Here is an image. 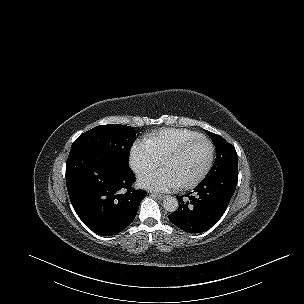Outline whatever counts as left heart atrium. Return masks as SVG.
Instances as JSON below:
<instances>
[{
	"label": "left heart atrium",
	"instance_id": "obj_1",
	"mask_svg": "<svg viewBox=\"0 0 304 304\" xmlns=\"http://www.w3.org/2000/svg\"><path fill=\"white\" fill-rule=\"evenodd\" d=\"M142 184L152 190L168 192L177 189L179 183L162 169L151 170L141 177Z\"/></svg>",
	"mask_w": 304,
	"mask_h": 304
}]
</instances>
